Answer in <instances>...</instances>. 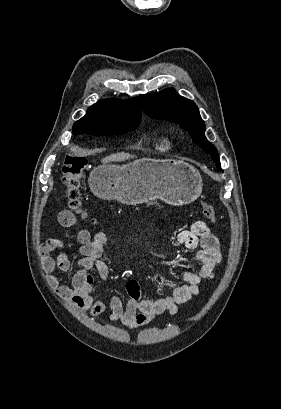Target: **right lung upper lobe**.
I'll use <instances>...</instances> for the list:
<instances>
[{
  "label": "right lung upper lobe",
  "mask_w": 281,
  "mask_h": 409,
  "mask_svg": "<svg viewBox=\"0 0 281 409\" xmlns=\"http://www.w3.org/2000/svg\"><path fill=\"white\" fill-rule=\"evenodd\" d=\"M141 109L138 98L130 100L106 99L92 105L87 114L76 121L80 127H129L139 125Z\"/></svg>",
  "instance_id": "cb5924a9"
}]
</instances>
